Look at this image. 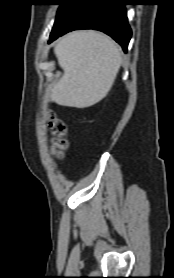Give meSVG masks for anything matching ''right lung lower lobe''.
I'll return each mask as SVG.
<instances>
[{"instance_id":"right-lung-lower-lobe-1","label":"right lung lower lobe","mask_w":174,"mask_h":278,"mask_svg":"<svg viewBox=\"0 0 174 278\" xmlns=\"http://www.w3.org/2000/svg\"><path fill=\"white\" fill-rule=\"evenodd\" d=\"M122 0H80L63 22L52 29L49 42L77 29H96L110 35L124 52L131 38L125 3Z\"/></svg>"}]
</instances>
